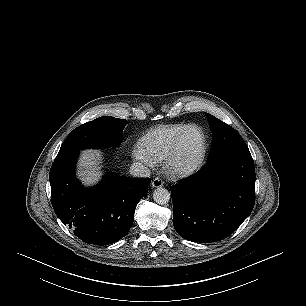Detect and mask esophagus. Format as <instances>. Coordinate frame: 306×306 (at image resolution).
Masks as SVG:
<instances>
[{
    "mask_svg": "<svg viewBox=\"0 0 306 306\" xmlns=\"http://www.w3.org/2000/svg\"><path fill=\"white\" fill-rule=\"evenodd\" d=\"M163 184H164V182L158 177L153 179V181L151 183L153 188L161 187V186H163Z\"/></svg>",
    "mask_w": 306,
    "mask_h": 306,
    "instance_id": "34e87169",
    "label": "esophagus"
}]
</instances>
